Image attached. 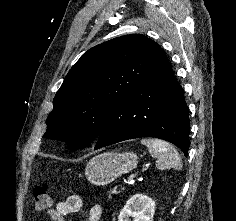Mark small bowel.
<instances>
[{
    "mask_svg": "<svg viewBox=\"0 0 236 221\" xmlns=\"http://www.w3.org/2000/svg\"><path fill=\"white\" fill-rule=\"evenodd\" d=\"M83 199L81 196L73 194L66 199L59 201L55 207L49 210V215L53 221H64L65 216L78 213L82 209ZM102 208L100 205H93L88 213L87 221H100Z\"/></svg>",
    "mask_w": 236,
    "mask_h": 221,
    "instance_id": "c3829d8e",
    "label": "small bowel"
}]
</instances>
